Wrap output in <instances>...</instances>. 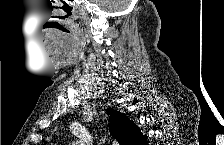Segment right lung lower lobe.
I'll return each instance as SVG.
<instances>
[{
  "mask_svg": "<svg viewBox=\"0 0 224 145\" xmlns=\"http://www.w3.org/2000/svg\"><path fill=\"white\" fill-rule=\"evenodd\" d=\"M147 144V136L146 138L142 141L141 145H146Z\"/></svg>",
  "mask_w": 224,
  "mask_h": 145,
  "instance_id": "obj_1",
  "label": "right lung lower lobe"
}]
</instances>
